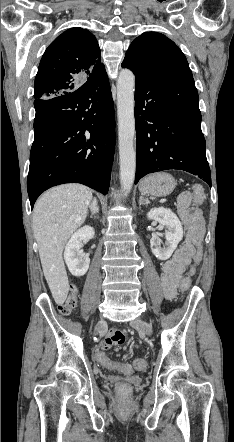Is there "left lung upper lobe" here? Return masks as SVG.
Returning <instances> with one entry per match:
<instances>
[{
    "label": "left lung upper lobe",
    "mask_w": 234,
    "mask_h": 442,
    "mask_svg": "<svg viewBox=\"0 0 234 442\" xmlns=\"http://www.w3.org/2000/svg\"><path fill=\"white\" fill-rule=\"evenodd\" d=\"M122 65L134 74L192 76L179 47L157 32H146L137 37L126 52Z\"/></svg>",
    "instance_id": "left-lung-upper-lobe-1"
}]
</instances>
